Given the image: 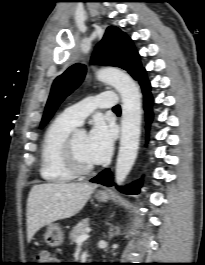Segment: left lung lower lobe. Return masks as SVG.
<instances>
[{"mask_svg":"<svg viewBox=\"0 0 205 265\" xmlns=\"http://www.w3.org/2000/svg\"><path fill=\"white\" fill-rule=\"evenodd\" d=\"M137 81L139 82V84L142 88V92H143V96H144V109L146 112V121H147L146 129L148 130L149 124H150L151 119H152L151 106L153 103V99H152V96L150 93V83L146 77L145 69H143L142 72L139 74ZM90 181L94 182V183L102 184L105 186H112L113 185V180L111 177L110 169H105L99 175L92 178ZM140 187H141V181H137V182L132 183L131 185L126 186L125 188H120L119 190L123 193H126V194H138Z\"/></svg>","mask_w":205,"mask_h":265,"instance_id":"obj_1","label":"left lung lower lobe"}]
</instances>
